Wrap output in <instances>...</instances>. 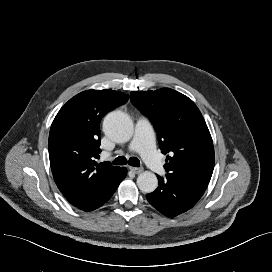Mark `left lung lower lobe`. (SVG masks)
<instances>
[{"mask_svg":"<svg viewBox=\"0 0 272 272\" xmlns=\"http://www.w3.org/2000/svg\"><path fill=\"white\" fill-rule=\"evenodd\" d=\"M158 188L146 195L148 202L167 217H175L191 209L205 192L208 183L167 173L157 176Z\"/></svg>","mask_w":272,"mask_h":272,"instance_id":"obj_1","label":"left lung lower lobe"}]
</instances>
